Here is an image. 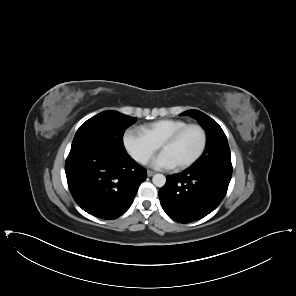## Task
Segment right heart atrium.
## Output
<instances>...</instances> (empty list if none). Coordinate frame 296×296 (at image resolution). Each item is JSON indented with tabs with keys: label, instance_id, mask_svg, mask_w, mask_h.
<instances>
[{
	"label": "right heart atrium",
	"instance_id": "right-heart-atrium-1",
	"mask_svg": "<svg viewBox=\"0 0 296 296\" xmlns=\"http://www.w3.org/2000/svg\"><path fill=\"white\" fill-rule=\"evenodd\" d=\"M124 146L138 162L146 163L159 149V146L139 129H129L124 136Z\"/></svg>",
	"mask_w": 296,
	"mask_h": 296
}]
</instances>
